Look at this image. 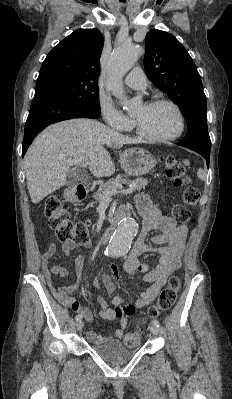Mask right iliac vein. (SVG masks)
Instances as JSON below:
<instances>
[{"label":"right iliac vein","instance_id":"obj_1","mask_svg":"<svg viewBox=\"0 0 232 399\" xmlns=\"http://www.w3.org/2000/svg\"><path fill=\"white\" fill-rule=\"evenodd\" d=\"M84 325V322L83 321H80L78 324H77V329L78 330H81V327Z\"/></svg>","mask_w":232,"mask_h":399}]
</instances>
